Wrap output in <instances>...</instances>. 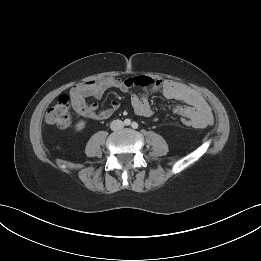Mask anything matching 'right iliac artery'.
Here are the masks:
<instances>
[{"label":"right iliac artery","mask_w":261,"mask_h":261,"mask_svg":"<svg viewBox=\"0 0 261 261\" xmlns=\"http://www.w3.org/2000/svg\"><path fill=\"white\" fill-rule=\"evenodd\" d=\"M124 124L127 125V126L130 125V124H131L130 119H125V120H124Z\"/></svg>","instance_id":"82829eb1"}]
</instances>
